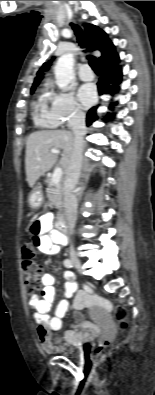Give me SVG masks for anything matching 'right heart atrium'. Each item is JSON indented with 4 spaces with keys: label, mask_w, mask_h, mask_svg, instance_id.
I'll use <instances>...</instances> for the list:
<instances>
[{
    "label": "right heart atrium",
    "mask_w": 155,
    "mask_h": 395,
    "mask_svg": "<svg viewBox=\"0 0 155 395\" xmlns=\"http://www.w3.org/2000/svg\"><path fill=\"white\" fill-rule=\"evenodd\" d=\"M50 118L54 127H64L84 118L79 104L69 90H59L50 95Z\"/></svg>",
    "instance_id": "d8ad5b80"
}]
</instances>
